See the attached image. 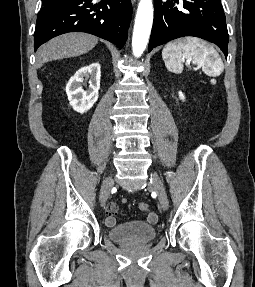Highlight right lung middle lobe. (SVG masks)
<instances>
[{
    "mask_svg": "<svg viewBox=\"0 0 255 287\" xmlns=\"http://www.w3.org/2000/svg\"><path fill=\"white\" fill-rule=\"evenodd\" d=\"M42 4L44 5V4H47V2L45 1V0H42Z\"/></svg>",
    "mask_w": 255,
    "mask_h": 287,
    "instance_id": "dd1d6c3e",
    "label": "right lung middle lobe"
}]
</instances>
